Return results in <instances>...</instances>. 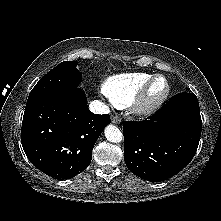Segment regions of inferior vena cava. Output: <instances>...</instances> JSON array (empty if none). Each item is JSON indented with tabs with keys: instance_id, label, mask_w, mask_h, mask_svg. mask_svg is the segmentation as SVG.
<instances>
[{
	"instance_id": "obj_1",
	"label": "inferior vena cava",
	"mask_w": 221,
	"mask_h": 221,
	"mask_svg": "<svg viewBox=\"0 0 221 221\" xmlns=\"http://www.w3.org/2000/svg\"><path fill=\"white\" fill-rule=\"evenodd\" d=\"M89 108L95 114H109L110 112L109 107L98 100L92 101Z\"/></svg>"
}]
</instances>
